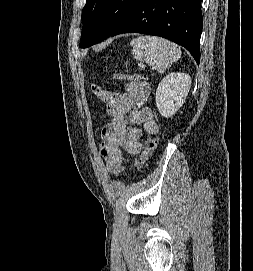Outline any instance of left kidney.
<instances>
[{"label": "left kidney", "instance_id": "5707ae66", "mask_svg": "<svg viewBox=\"0 0 253 271\" xmlns=\"http://www.w3.org/2000/svg\"><path fill=\"white\" fill-rule=\"evenodd\" d=\"M191 86V77L174 72L162 79L156 91V106L159 113L169 118L183 105Z\"/></svg>", "mask_w": 253, "mask_h": 271}]
</instances>
